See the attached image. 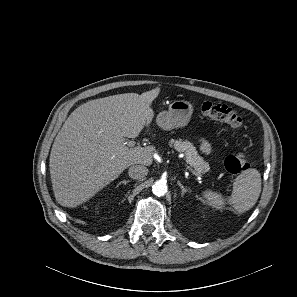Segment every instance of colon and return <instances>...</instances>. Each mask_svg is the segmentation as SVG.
<instances>
[{
	"label": "colon",
	"instance_id": "obj_1",
	"mask_svg": "<svg viewBox=\"0 0 297 297\" xmlns=\"http://www.w3.org/2000/svg\"><path fill=\"white\" fill-rule=\"evenodd\" d=\"M198 109L203 115L223 121L233 128L241 129L243 126V120L239 112L225 104L202 101L198 104ZM224 164L226 170L233 175L242 173L250 166L249 159L245 155L228 156Z\"/></svg>",
	"mask_w": 297,
	"mask_h": 297
}]
</instances>
